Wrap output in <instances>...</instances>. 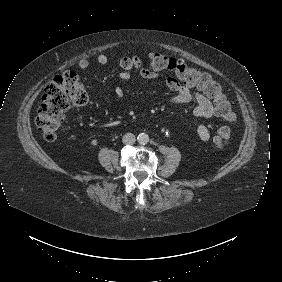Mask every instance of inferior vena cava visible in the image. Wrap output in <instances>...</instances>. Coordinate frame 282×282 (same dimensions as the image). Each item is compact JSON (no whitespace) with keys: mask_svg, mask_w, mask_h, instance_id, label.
I'll list each match as a JSON object with an SVG mask.
<instances>
[{"mask_svg":"<svg viewBox=\"0 0 282 282\" xmlns=\"http://www.w3.org/2000/svg\"><path fill=\"white\" fill-rule=\"evenodd\" d=\"M136 141L135 135L132 133H126L122 137V142L125 145H133Z\"/></svg>","mask_w":282,"mask_h":282,"instance_id":"obj_1","label":"inferior vena cava"}]
</instances>
